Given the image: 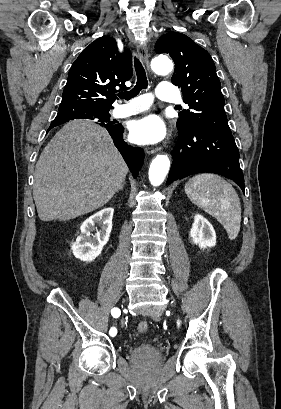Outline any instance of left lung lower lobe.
<instances>
[{"instance_id":"1","label":"left lung lower lobe","mask_w":281,"mask_h":409,"mask_svg":"<svg viewBox=\"0 0 281 409\" xmlns=\"http://www.w3.org/2000/svg\"><path fill=\"white\" fill-rule=\"evenodd\" d=\"M172 157L167 184L195 173L210 172L232 179L244 192L239 151L231 133L202 125L180 130Z\"/></svg>"}]
</instances>
